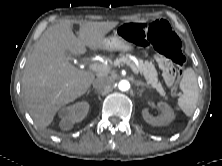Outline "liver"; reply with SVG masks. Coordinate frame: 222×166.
<instances>
[{"label":"liver","mask_w":222,"mask_h":166,"mask_svg":"<svg viewBox=\"0 0 222 166\" xmlns=\"http://www.w3.org/2000/svg\"><path fill=\"white\" fill-rule=\"evenodd\" d=\"M118 22H83L79 36L72 31V21L63 20L41 35L27 59L22 78V93L27 110L42 129L48 127L56 112L82 96L94 81L90 71L78 70L66 52L84 54L86 47L101 49L105 35Z\"/></svg>","instance_id":"liver-1"}]
</instances>
